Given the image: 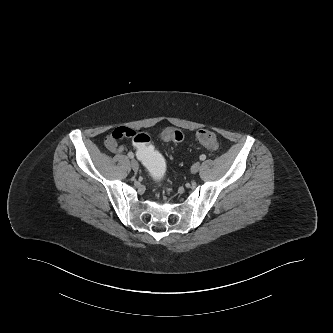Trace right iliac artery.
<instances>
[{"instance_id":"right-iliac-artery-1","label":"right iliac artery","mask_w":333,"mask_h":333,"mask_svg":"<svg viewBox=\"0 0 333 333\" xmlns=\"http://www.w3.org/2000/svg\"><path fill=\"white\" fill-rule=\"evenodd\" d=\"M128 157L132 159V158H134V154L132 152H129Z\"/></svg>"}]
</instances>
